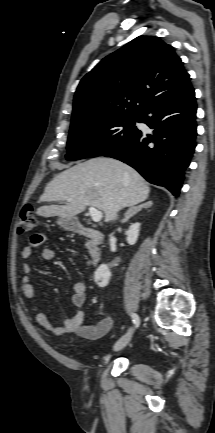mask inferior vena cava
Returning a JSON list of instances; mask_svg holds the SVG:
<instances>
[{"label": "inferior vena cava", "instance_id": "inferior-vena-cava-1", "mask_svg": "<svg viewBox=\"0 0 215 433\" xmlns=\"http://www.w3.org/2000/svg\"><path fill=\"white\" fill-rule=\"evenodd\" d=\"M117 218V213L114 215V218H113V220H115Z\"/></svg>", "mask_w": 215, "mask_h": 433}]
</instances>
